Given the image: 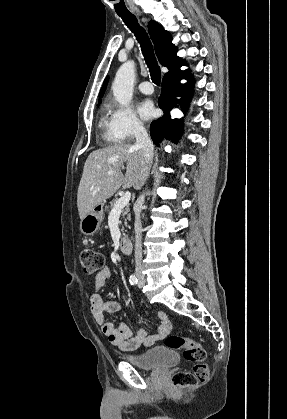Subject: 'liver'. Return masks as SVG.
Listing matches in <instances>:
<instances>
[{"instance_id":"1","label":"liver","mask_w":287,"mask_h":419,"mask_svg":"<svg viewBox=\"0 0 287 419\" xmlns=\"http://www.w3.org/2000/svg\"><path fill=\"white\" fill-rule=\"evenodd\" d=\"M124 163L125 175L121 171ZM148 166L141 148L131 144H116L91 152L84 164L77 193L80 219L96 206L103 205L121 186L140 189ZM109 171L113 174L109 175Z\"/></svg>"}]
</instances>
